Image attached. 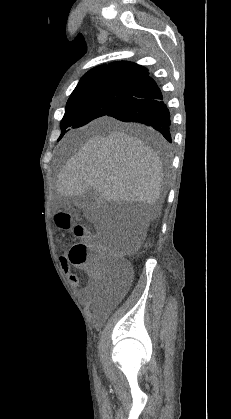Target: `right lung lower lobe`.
<instances>
[{
  "instance_id": "1",
  "label": "right lung lower lobe",
  "mask_w": 231,
  "mask_h": 419,
  "mask_svg": "<svg viewBox=\"0 0 231 419\" xmlns=\"http://www.w3.org/2000/svg\"><path fill=\"white\" fill-rule=\"evenodd\" d=\"M107 116L124 122L145 124L159 131L169 142L172 141L169 109L163 101L160 89L148 75Z\"/></svg>"
}]
</instances>
